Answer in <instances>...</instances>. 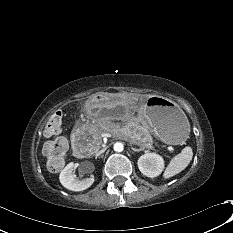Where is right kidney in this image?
Segmentation results:
<instances>
[{
    "instance_id": "ca27d5eb",
    "label": "right kidney",
    "mask_w": 233,
    "mask_h": 233,
    "mask_svg": "<svg viewBox=\"0 0 233 233\" xmlns=\"http://www.w3.org/2000/svg\"><path fill=\"white\" fill-rule=\"evenodd\" d=\"M74 167L75 164L70 162L61 171L59 176L61 184L71 191H83L89 188L94 182L93 176L86 179L75 178L73 175Z\"/></svg>"
}]
</instances>
